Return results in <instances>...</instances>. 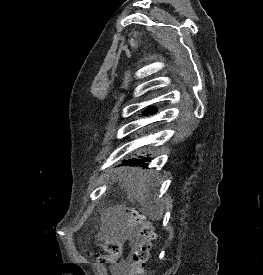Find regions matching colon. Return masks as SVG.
Returning a JSON list of instances; mask_svg holds the SVG:
<instances>
[{"label":"colon","mask_w":263,"mask_h":275,"mask_svg":"<svg viewBox=\"0 0 263 275\" xmlns=\"http://www.w3.org/2000/svg\"><path fill=\"white\" fill-rule=\"evenodd\" d=\"M127 227L131 239V254L121 275H144L154 238L152 226L138 212L130 211ZM121 254V244L118 241H109L104 245V253L99 256V262L111 266Z\"/></svg>","instance_id":"5ec220e1"}]
</instances>
